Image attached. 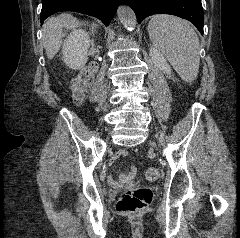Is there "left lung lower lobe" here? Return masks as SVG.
<instances>
[{
  "mask_svg": "<svg viewBox=\"0 0 240 238\" xmlns=\"http://www.w3.org/2000/svg\"><path fill=\"white\" fill-rule=\"evenodd\" d=\"M138 23L154 14H170L192 22L203 34L204 14L201 0H125Z\"/></svg>",
  "mask_w": 240,
  "mask_h": 238,
  "instance_id": "1",
  "label": "left lung lower lobe"
}]
</instances>
